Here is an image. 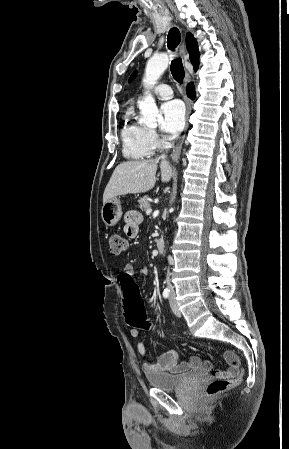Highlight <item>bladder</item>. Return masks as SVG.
<instances>
[{"label": "bladder", "instance_id": "1", "mask_svg": "<svg viewBox=\"0 0 289 449\" xmlns=\"http://www.w3.org/2000/svg\"><path fill=\"white\" fill-rule=\"evenodd\" d=\"M205 376L203 369H196L182 374L155 373L148 374V383L157 389L163 391H174L183 388Z\"/></svg>", "mask_w": 289, "mask_h": 449}]
</instances>
